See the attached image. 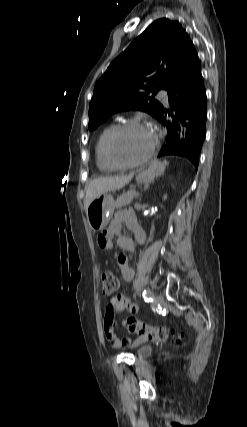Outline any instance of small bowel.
<instances>
[{
  "mask_svg": "<svg viewBox=\"0 0 247 427\" xmlns=\"http://www.w3.org/2000/svg\"><path fill=\"white\" fill-rule=\"evenodd\" d=\"M125 225L134 235L135 240L144 245L146 243V234L138 225L135 214L128 209L118 211L108 228L99 235L98 245L100 248L110 250L113 248V240H116L117 245L124 251L133 252L135 250V242L132 238L122 235V226ZM117 263L121 270L124 281L131 282L134 278V270L129 265L128 257L125 254H119ZM139 307L128 298L118 295L110 299L104 319L103 329L106 339L111 346L116 349L126 348L138 345L144 341L143 338H138L132 342L128 337H119L115 331L117 326L116 317L124 312L137 313Z\"/></svg>",
  "mask_w": 247,
  "mask_h": 427,
  "instance_id": "obj_1",
  "label": "small bowel"
}]
</instances>
